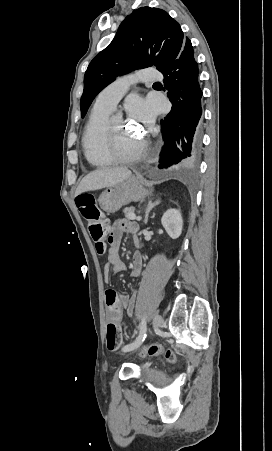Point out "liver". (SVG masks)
Returning <instances> with one entry per match:
<instances>
[{
    "label": "liver",
    "instance_id": "liver-1",
    "mask_svg": "<svg viewBox=\"0 0 272 451\" xmlns=\"http://www.w3.org/2000/svg\"><path fill=\"white\" fill-rule=\"evenodd\" d=\"M131 172L125 166H118V168H101V170H94L91 174H87L81 180L78 188H76L75 196H79L82 192L88 190H101V188H109L113 184L123 182L126 178H130Z\"/></svg>",
    "mask_w": 272,
    "mask_h": 451
}]
</instances>
